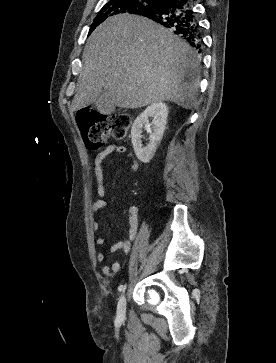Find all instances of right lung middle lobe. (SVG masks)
<instances>
[{
    "instance_id": "1",
    "label": "right lung middle lobe",
    "mask_w": 276,
    "mask_h": 363,
    "mask_svg": "<svg viewBox=\"0 0 276 363\" xmlns=\"http://www.w3.org/2000/svg\"><path fill=\"white\" fill-rule=\"evenodd\" d=\"M157 3L154 0H110L98 12L91 25L89 34L107 18L118 14H137L153 4Z\"/></svg>"
}]
</instances>
